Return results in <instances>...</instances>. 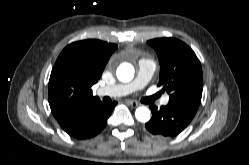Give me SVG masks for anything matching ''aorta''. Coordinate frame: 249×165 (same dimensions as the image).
Instances as JSON below:
<instances>
[{
	"instance_id": "aorta-1",
	"label": "aorta",
	"mask_w": 249,
	"mask_h": 165,
	"mask_svg": "<svg viewBox=\"0 0 249 165\" xmlns=\"http://www.w3.org/2000/svg\"><path fill=\"white\" fill-rule=\"evenodd\" d=\"M116 75L121 82H129L134 77V68L131 64L123 63L118 67ZM135 117L140 122H148L151 118L150 110L147 107H139L135 111Z\"/></svg>"
}]
</instances>
